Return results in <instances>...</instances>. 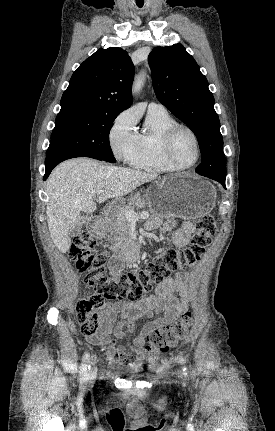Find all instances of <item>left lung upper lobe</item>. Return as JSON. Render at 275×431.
<instances>
[{"instance_id": "1", "label": "left lung upper lobe", "mask_w": 275, "mask_h": 431, "mask_svg": "<svg viewBox=\"0 0 275 431\" xmlns=\"http://www.w3.org/2000/svg\"><path fill=\"white\" fill-rule=\"evenodd\" d=\"M158 100L188 125L198 139L201 164L196 173L226 175L220 121L206 77L183 45L156 47L149 54Z\"/></svg>"}]
</instances>
